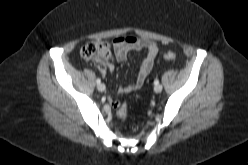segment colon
Returning a JSON list of instances; mask_svg holds the SVG:
<instances>
[{
    "mask_svg": "<svg viewBox=\"0 0 248 165\" xmlns=\"http://www.w3.org/2000/svg\"><path fill=\"white\" fill-rule=\"evenodd\" d=\"M80 55L84 60L96 61L100 67L111 58L110 47L103 41H89L81 49ZM166 60H174L176 54L168 51L164 54ZM113 107L117 110V115L120 119H125L127 115V107L125 104L113 100Z\"/></svg>",
    "mask_w": 248,
    "mask_h": 165,
    "instance_id": "colon-1",
    "label": "colon"
}]
</instances>
